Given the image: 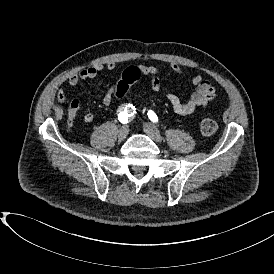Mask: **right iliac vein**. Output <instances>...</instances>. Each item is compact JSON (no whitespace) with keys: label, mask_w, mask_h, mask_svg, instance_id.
I'll return each instance as SVG.
<instances>
[{"label":"right iliac vein","mask_w":274,"mask_h":274,"mask_svg":"<svg viewBox=\"0 0 274 274\" xmlns=\"http://www.w3.org/2000/svg\"><path fill=\"white\" fill-rule=\"evenodd\" d=\"M128 132H129L128 126H126V125L121 126V127L119 128V130H118V133H117L118 138H119L120 140L125 139V138L127 137V135H128Z\"/></svg>","instance_id":"63e3f726"}]
</instances>
